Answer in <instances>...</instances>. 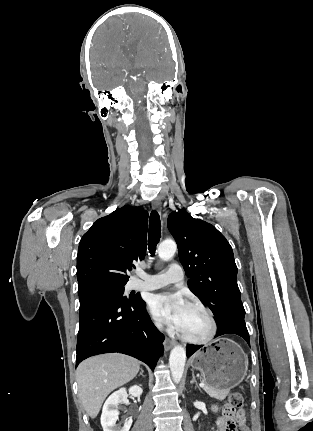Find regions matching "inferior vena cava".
I'll return each mask as SVG.
<instances>
[{"mask_svg": "<svg viewBox=\"0 0 313 431\" xmlns=\"http://www.w3.org/2000/svg\"><path fill=\"white\" fill-rule=\"evenodd\" d=\"M156 326L161 329L162 328V324L161 323H156Z\"/></svg>", "mask_w": 313, "mask_h": 431, "instance_id": "inferior-vena-cava-1", "label": "inferior vena cava"}]
</instances>
